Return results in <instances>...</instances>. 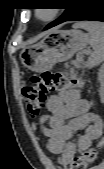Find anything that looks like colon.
Returning a JSON list of instances; mask_svg holds the SVG:
<instances>
[{"label":"colon","instance_id":"colon-1","mask_svg":"<svg viewBox=\"0 0 104 169\" xmlns=\"http://www.w3.org/2000/svg\"><path fill=\"white\" fill-rule=\"evenodd\" d=\"M31 84L23 88V97L29 114L38 116L44 106L46 95L51 91L79 88L82 81L75 77H69L62 72L45 70L34 74L30 78ZM99 145L86 149L75 156L70 162L68 169H86L92 163L99 150Z\"/></svg>","mask_w":104,"mask_h":169}]
</instances>
